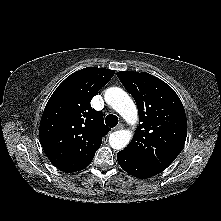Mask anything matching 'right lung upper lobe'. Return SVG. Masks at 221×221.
<instances>
[{
	"instance_id": "right-lung-upper-lobe-1",
	"label": "right lung upper lobe",
	"mask_w": 221,
	"mask_h": 221,
	"mask_svg": "<svg viewBox=\"0 0 221 221\" xmlns=\"http://www.w3.org/2000/svg\"><path fill=\"white\" fill-rule=\"evenodd\" d=\"M115 71L87 67L65 79L44 109L40 141L45 154L61 171L71 173L85 168L111 129L104 125L101 111L90 102L113 77Z\"/></svg>"
}]
</instances>
